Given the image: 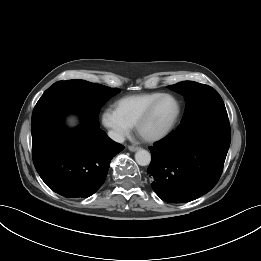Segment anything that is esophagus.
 <instances>
[{
	"label": "esophagus",
	"mask_w": 261,
	"mask_h": 261,
	"mask_svg": "<svg viewBox=\"0 0 261 261\" xmlns=\"http://www.w3.org/2000/svg\"><path fill=\"white\" fill-rule=\"evenodd\" d=\"M128 149H129L131 152H135V151L139 150V149H140V147H138V146H133V145H130V146H128Z\"/></svg>",
	"instance_id": "obj_1"
}]
</instances>
